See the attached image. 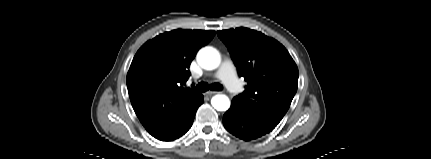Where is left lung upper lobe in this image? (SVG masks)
I'll use <instances>...</instances> for the list:
<instances>
[{"label":"left lung upper lobe","mask_w":431,"mask_h":159,"mask_svg":"<svg viewBox=\"0 0 431 159\" xmlns=\"http://www.w3.org/2000/svg\"><path fill=\"white\" fill-rule=\"evenodd\" d=\"M239 75L248 82L234 100L281 120L297 91L298 68L286 48L261 32L240 27L218 31Z\"/></svg>","instance_id":"5c2ea615"}]
</instances>
